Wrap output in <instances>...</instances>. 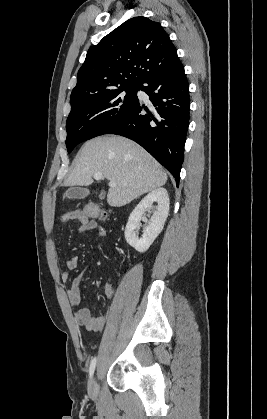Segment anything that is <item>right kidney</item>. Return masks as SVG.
Segmentation results:
<instances>
[{
	"label": "right kidney",
	"mask_w": 267,
	"mask_h": 419,
	"mask_svg": "<svg viewBox=\"0 0 267 419\" xmlns=\"http://www.w3.org/2000/svg\"><path fill=\"white\" fill-rule=\"evenodd\" d=\"M157 202V210L153 213L149 225L144 228L142 237L139 238L138 230L144 211ZM169 196L165 188H156L145 196L129 216L125 239L127 243L138 252H145L163 230L169 214Z\"/></svg>",
	"instance_id": "ca27d5eb"
}]
</instances>
